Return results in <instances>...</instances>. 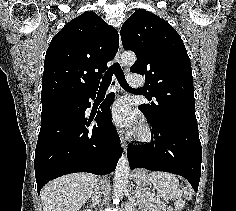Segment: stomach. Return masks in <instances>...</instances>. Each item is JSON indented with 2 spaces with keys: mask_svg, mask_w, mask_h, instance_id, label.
Returning a JSON list of instances; mask_svg holds the SVG:
<instances>
[{
  "mask_svg": "<svg viewBox=\"0 0 236 211\" xmlns=\"http://www.w3.org/2000/svg\"><path fill=\"white\" fill-rule=\"evenodd\" d=\"M133 179H134L135 183L137 184V186L143 190H145V188L147 186H149V184H150L148 174L145 170H136L133 173Z\"/></svg>",
  "mask_w": 236,
  "mask_h": 211,
  "instance_id": "0dacf381",
  "label": "stomach"
}]
</instances>
